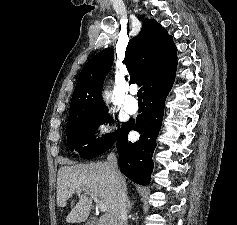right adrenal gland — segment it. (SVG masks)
I'll use <instances>...</instances> for the list:
<instances>
[{
  "mask_svg": "<svg viewBox=\"0 0 237 225\" xmlns=\"http://www.w3.org/2000/svg\"><path fill=\"white\" fill-rule=\"evenodd\" d=\"M133 206V203L130 201V198H127V211L128 213L131 211V208Z\"/></svg>",
  "mask_w": 237,
  "mask_h": 225,
  "instance_id": "obj_1",
  "label": "right adrenal gland"
}]
</instances>
